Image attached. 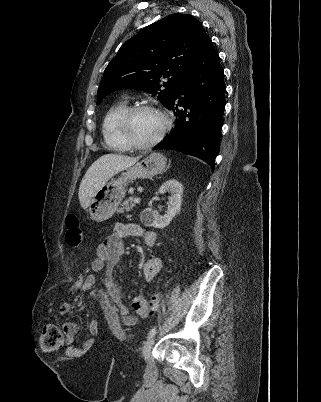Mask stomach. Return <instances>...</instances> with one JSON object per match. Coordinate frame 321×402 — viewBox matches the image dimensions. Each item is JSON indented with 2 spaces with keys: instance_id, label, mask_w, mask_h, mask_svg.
Segmentation results:
<instances>
[{
  "instance_id": "0dacf381",
  "label": "stomach",
  "mask_w": 321,
  "mask_h": 402,
  "mask_svg": "<svg viewBox=\"0 0 321 402\" xmlns=\"http://www.w3.org/2000/svg\"><path fill=\"white\" fill-rule=\"evenodd\" d=\"M166 158L160 153H151L142 161L127 168L118 178L105 183L90 199L88 212L91 219L101 222L113 216L125 196V187L138 178H147L163 172Z\"/></svg>"
}]
</instances>
